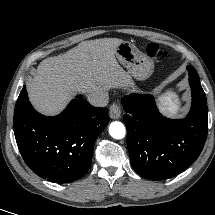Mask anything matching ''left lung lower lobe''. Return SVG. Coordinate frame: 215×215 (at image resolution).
Masks as SVG:
<instances>
[{
  "mask_svg": "<svg viewBox=\"0 0 215 215\" xmlns=\"http://www.w3.org/2000/svg\"><path fill=\"white\" fill-rule=\"evenodd\" d=\"M189 84L192 105L184 119L164 117L151 95L135 93L123 98L130 161L141 177L156 181L169 179L188 168L200 155L208 132V108L193 67L189 71Z\"/></svg>",
  "mask_w": 215,
  "mask_h": 215,
  "instance_id": "obj_1",
  "label": "left lung lower lobe"
}]
</instances>
